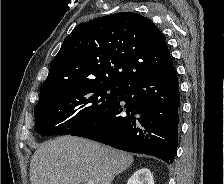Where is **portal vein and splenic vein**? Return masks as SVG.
<instances>
[{"label":"portal vein and splenic vein","mask_w":224,"mask_h":184,"mask_svg":"<svg viewBox=\"0 0 224 184\" xmlns=\"http://www.w3.org/2000/svg\"><path fill=\"white\" fill-rule=\"evenodd\" d=\"M86 184H94L93 181H88Z\"/></svg>","instance_id":"18ae733b"}]
</instances>
